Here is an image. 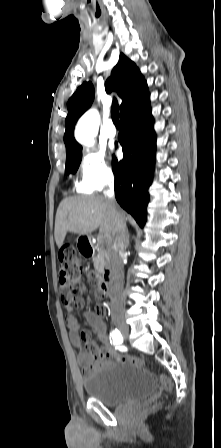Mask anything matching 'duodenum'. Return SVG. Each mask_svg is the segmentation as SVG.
<instances>
[{"instance_id": "410a0bca", "label": "duodenum", "mask_w": 221, "mask_h": 448, "mask_svg": "<svg viewBox=\"0 0 221 448\" xmlns=\"http://www.w3.org/2000/svg\"><path fill=\"white\" fill-rule=\"evenodd\" d=\"M80 253L85 258H92L96 254L95 245L89 236H83L79 243ZM112 274L108 267H104L103 275L99 282L100 292L104 297H108L112 292Z\"/></svg>"}]
</instances>
